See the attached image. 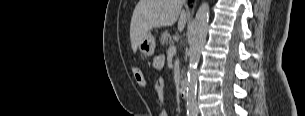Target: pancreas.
Segmentation results:
<instances>
[{"instance_id":"cf45deb5","label":"pancreas","mask_w":305,"mask_h":116,"mask_svg":"<svg viewBox=\"0 0 305 116\" xmlns=\"http://www.w3.org/2000/svg\"><path fill=\"white\" fill-rule=\"evenodd\" d=\"M160 42L162 45L170 44L172 42V38H171L170 34L168 32L162 33L161 37H160Z\"/></svg>"}]
</instances>
